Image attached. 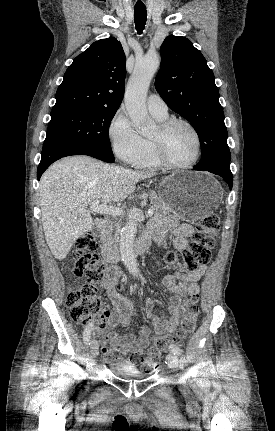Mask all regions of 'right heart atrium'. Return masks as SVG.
Wrapping results in <instances>:
<instances>
[{
  "mask_svg": "<svg viewBox=\"0 0 275 431\" xmlns=\"http://www.w3.org/2000/svg\"><path fill=\"white\" fill-rule=\"evenodd\" d=\"M108 135L113 152L123 162L135 164L144 153V139L123 110H118L111 119Z\"/></svg>",
  "mask_w": 275,
  "mask_h": 431,
  "instance_id": "obj_1",
  "label": "right heart atrium"
}]
</instances>
